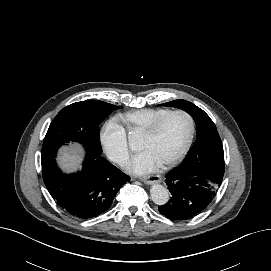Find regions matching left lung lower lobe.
<instances>
[{
    "mask_svg": "<svg viewBox=\"0 0 271 271\" xmlns=\"http://www.w3.org/2000/svg\"><path fill=\"white\" fill-rule=\"evenodd\" d=\"M223 177L199 170L177 167L166 175L172 194L159 212L172 220H187L202 212L214 199Z\"/></svg>",
    "mask_w": 271,
    "mask_h": 271,
    "instance_id": "left-lung-lower-lobe-1",
    "label": "left lung lower lobe"
}]
</instances>
